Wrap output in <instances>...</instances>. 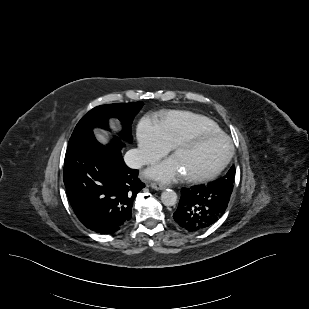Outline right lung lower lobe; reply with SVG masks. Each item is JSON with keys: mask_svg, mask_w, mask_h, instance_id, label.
Listing matches in <instances>:
<instances>
[{"mask_svg": "<svg viewBox=\"0 0 309 309\" xmlns=\"http://www.w3.org/2000/svg\"><path fill=\"white\" fill-rule=\"evenodd\" d=\"M120 138L101 145L93 130L72 135L65 156L64 184L78 219L88 229L112 234L131 219L133 201L145 187L138 170L123 161Z\"/></svg>", "mask_w": 309, "mask_h": 309, "instance_id": "obj_1", "label": "right lung lower lobe"}]
</instances>
